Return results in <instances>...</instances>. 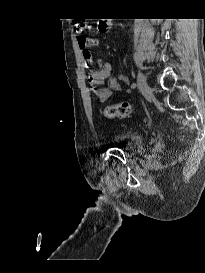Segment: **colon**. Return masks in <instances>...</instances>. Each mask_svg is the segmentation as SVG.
<instances>
[{
  "mask_svg": "<svg viewBox=\"0 0 205 273\" xmlns=\"http://www.w3.org/2000/svg\"><path fill=\"white\" fill-rule=\"evenodd\" d=\"M75 31L80 35L87 33L91 29V24L84 20H76L75 23ZM132 112V107L128 102H119L114 103L105 108L104 115L106 118L114 119V118H126Z\"/></svg>",
  "mask_w": 205,
  "mask_h": 273,
  "instance_id": "5ec220e1",
  "label": "colon"
}]
</instances>
